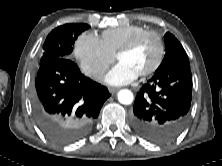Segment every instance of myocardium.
Segmentation results:
<instances>
[{
  "mask_svg": "<svg viewBox=\"0 0 222 166\" xmlns=\"http://www.w3.org/2000/svg\"><path fill=\"white\" fill-rule=\"evenodd\" d=\"M154 37L158 43V53L157 58L153 65L148 68L146 71L139 74L140 77H147L152 75L157 69L161 66L164 56H165V44L161 37V35L153 30H147L139 35H137L134 39H132L128 44L122 47L116 54L117 59H119L122 55L132 52L135 50L146 38Z\"/></svg>",
  "mask_w": 222,
  "mask_h": 166,
  "instance_id": "1",
  "label": "myocardium"
}]
</instances>
